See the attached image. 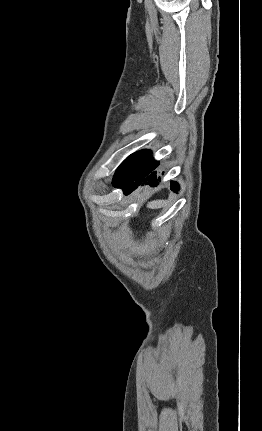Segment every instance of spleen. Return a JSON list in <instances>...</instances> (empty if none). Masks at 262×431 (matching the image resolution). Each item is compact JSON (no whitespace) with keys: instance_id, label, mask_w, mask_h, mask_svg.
I'll list each match as a JSON object with an SVG mask.
<instances>
[{"instance_id":"spleen-1","label":"spleen","mask_w":262,"mask_h":431,"mask_svg":"<svg viewBox=\"0 0 262 431\" xmlns=\"http://www.w3.org/2000/svg\"><path fill=\"white\" fill-rule=\"evenodd\" d=\"M165 205L163 200H156L148 203L147 207L150 209H158Z\"/></svg>"}]
</instances>
